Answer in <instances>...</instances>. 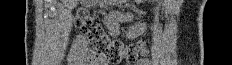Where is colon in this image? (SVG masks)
<instances>
[{
	"label": "colon",
	"instance_id": "1",
	"mask_svg": "<svg viewBox=\"0 0 232 65\" xmlns=\"http://www.w3.org/2000/svg\"><path fill=\"white\" fill-rule=\"evenodd\" d=\"M74 23L89 43V49L83 54L94 64H118L122 60L134 63L140 55H145L147 52L146 43L142 40L136 45L126 46L117 40L110 39L99 21L84 9L78 11ZM77 45L81 48L83 39H78Z\"/></svg>",
	"mask_w": 232,
	"mask_h": 65
}]
</instances>
